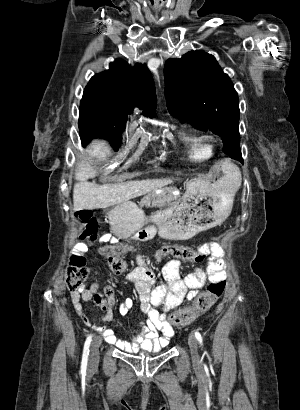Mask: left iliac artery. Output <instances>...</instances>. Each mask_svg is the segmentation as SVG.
Returning <instances> with one entry per match:
<instances>
[{"label": "left iliac artery", "mask_w": 300, "mask_h": 410, "mask_svg": "<svg viewBox=\"0 0 300 410\" xmlns=\"http://www.w3.org/2000/svg\"><path fill=\"white\" fill-rule=\"evenodd\" d=\"M195 337L198 340L201 347H203V338H202L201 334L198 331H195Z\"/></svg>", "instance_id": "1"}]
</instances>
